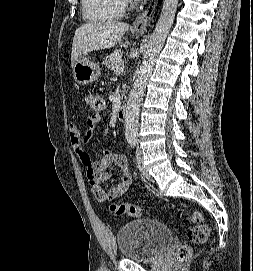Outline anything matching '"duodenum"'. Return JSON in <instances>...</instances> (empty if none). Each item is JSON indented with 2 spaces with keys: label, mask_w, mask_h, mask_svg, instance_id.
<instances>
[{
  "label": "duodenum",
  "mask_w": 253,
  "mask_h": 271,
  "mask_svg": "<svg viewBox=\"0 0 253 271\" xmlns=\"http://www.w3.org/2000/svg\"><path fill=\"white\" fill-rule=\"evenodd\" d=\"M126 111H127V107L125 105L120 106L117 112V117L119 120L122 121L126 118Z\"/></svg>",
  "instance_id": "duodenum-1"
}]
</instances>
